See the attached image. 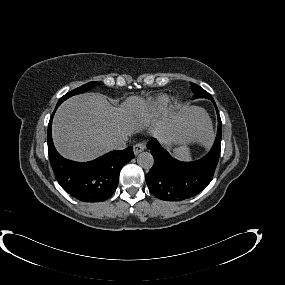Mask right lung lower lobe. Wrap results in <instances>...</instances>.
<instances>
[{"label":"right lung lower lobe","mask_w":285,"mask_h":285,"mask_svg":"<svg viewBox=\"0 0 285 285\" xmlns=\"http://www.w3.org/2000/svg\"><path fill=\"white\" fill-rule=\"evenodd\" d=\"M60 104L57 103L48 124V152L55 177L67 193L80 201H104L116 190L123 165L134 158L133 147L85 163L63 158L55 149L51 134L52 119Z\"/></svg>","instance_id":"1"}]
</instances>
